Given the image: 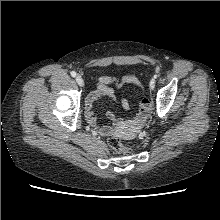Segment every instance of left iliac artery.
<instances>
[{"mask_svg": "<svg viewBox=\"0 0 220 220\" xmlns=\"http://www.w3.org/2000/svg\"><path fill=\"white\" fill-rule=\"evenodd\" d=\"M157 77H158V75H157V74H155V75H154V78L156 79Z\"/></svg>", "mask_w": 220, "mask_h": 220, "instance_id": "1", "label": "left iliac artery"}]
</instances>
